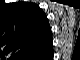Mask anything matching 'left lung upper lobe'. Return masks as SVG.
Listing matches in <instances>:
<instances>
[{
	"label": "left lung upper lobe",
	"instance_id": "obj_1",
	"mask_svg": "<svg viewBox=\"0 0 80 60\" xmlns=\"http://www.w3.org/2000/svg\"><path fill=\"white\" fill-rule=\"evenodd\" d=\"M9 9L2 13V20L0 21L3 25V15L9 14V22L7 23L6 32L8 34V45L10 50H16L23 52L24 54L29 53L31 46L38 49L40 44L44 40V24L43 17L44 12L34 3L19 2L10 3L7 6ZM3 29V26H2Z\"/></svg>",
	"mask_w": 80,
	"mask_h": 60
}]
</instances>
